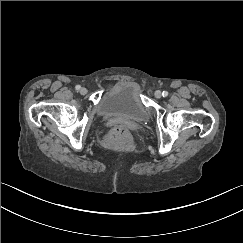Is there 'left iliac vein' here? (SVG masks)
Instances as JSON below:
<instances>
[{"label":"left iliac vein","mask_w":243,"mask_h":243,"mask_svg":"<svg viewBox=\"0 0 243 243\" xmlns=\"http://www.w3.org/2000/svg\"><path fill=\"white\" fill-rule=\"evenodd\" d=\"M155 97H156V98H161V97H162V92H161L160 90H157V91L155 92Z\"/></svg>","instance_id":"left-iliac-vein-1"}]
</instances>
